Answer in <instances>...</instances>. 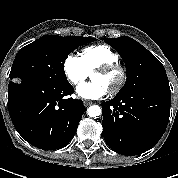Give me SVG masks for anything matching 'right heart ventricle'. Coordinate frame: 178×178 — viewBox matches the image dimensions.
Instances as JSON below:
<instances>
[{"label": "right heart ventricle", "mask_w": 178, "mask_h": 178, "mask_svg": "<svg viewBox=\"0 0 178 178\" xmlns=\"http://www.w3.org/2000/svg\"><path fill=\"white\" fill-rule=\"evenodd\" d=\"M80 58L89 73L101 65L118 62L119 59L112 48L103 44L85 47L80 53Z\"/></svg>", "instance_id": "right-heart-ventricle-1"}]
</instances>
